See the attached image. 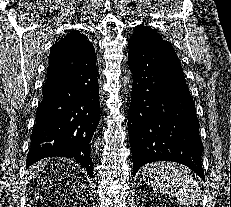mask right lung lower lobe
<instances>
[{"label": "right lung lower lobe", "instance_id": "1", "mask_svg": "<svg viewBox=\"0 0 231 207\" xmlns=\"http://www.w3.org/2000/svg\"><path fill=\"white\" fill-rule=\"evenodd\" d=\"M96 55L72 70L48 67L26 167L44 157L74 158L93 176L91 141L100 120Z\"/></svg>", "mask_w": 231, "mask_h": 207}]
</instances>
